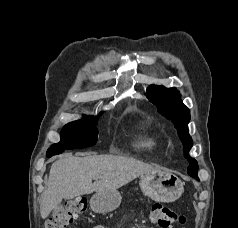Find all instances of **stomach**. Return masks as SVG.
Masks as SVG:
<instances>
[{
    "label": "stomach",
    "mask_w": 238,
    "mask_h": 228,
    "mask_svg": "<svg viewBox=\"0 0 238 228\" xmlns=\"http://www.w3.org/2000/svg\"><path fill=\"white\" fill-rule=\"evenodd\" d=\"M142 192L152 200L169 203L177 200L184 191L183 182L174 174L155 171L140 176ZM122 197L117 190L96 192L90 199L91 209L98 213H108L115 210Z\"/></svg>",
    "instance_id": "obj_1"
}]
</instances>
